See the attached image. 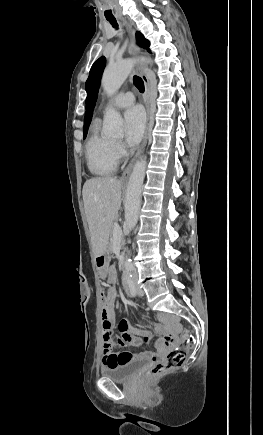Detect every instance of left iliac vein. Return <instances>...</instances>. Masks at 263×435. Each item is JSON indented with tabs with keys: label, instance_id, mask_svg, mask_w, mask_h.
Wrapping results in <instances>:
<instances>
[{
	"label": "left iliac vein",
	"instance_id": "left-iliac-vein-1",
	"mask_svg": "<svg viewBox=\"0 0 263 435\" xmlns=\"http://www.w3.org/2000/svg\"><path fill=\"white\" fill-rule=\"evenodd\" d=\"M134 286H135L137 295L138 296H143L144 295V291L137 284V275L136 274H134Z\"/></svg>",
	"mask_w": 263,
	"mask_h": 435
}]
</instances>
